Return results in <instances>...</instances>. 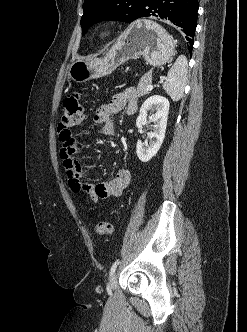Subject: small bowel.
Listing matches in <instances>:
<instances>
[{"mask_svg": "<svg viewBox=\"0 0 247 332\" xmlns=\"http://www.w3.org/2000/svg\"><path fill=\"white\" fill-rule=\"evenodd\" d=\"M136 107V91L133 88H127L123 92L114 95L108 103L101 105L95 111L93 119L100 126L102 135L112 137L115 135L112 122L113 115L123 109L131 115L136 111ZM78 152L79 148L74 139L70 144H63L60 152L71 191L86 195V202L89 204L96 203L100 199L120 196L130 182V172L126 169H120L110 181L97 185H84L85 172L82 165L75 158Z\"/></svg>", "mask_w": 247, "mask_h": 332, "instance_id": "small-bowel-1", "label": "small bowel"}]
</instances>
